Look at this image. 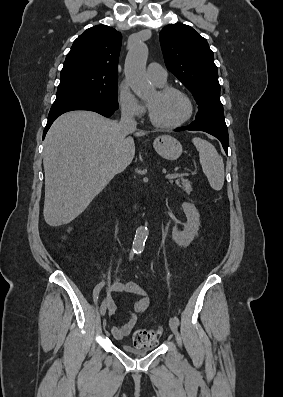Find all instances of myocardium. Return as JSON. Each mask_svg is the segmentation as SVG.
Wrapping results in <instances>:
<instances>
[{
	"instance_id": "myocardium-1",
	"label": "myocardium",
	"mask_w": 283,
	"mask_h": 397,
	"mask_svg": "<svg viewBox=\"0 0 283 397\" xmlns=\"http://www.w3.org/2000/svg\"><path fill=\"white\" fill-rule=\"evenodd\" d=\"M173 92L181 94L186 99V101L188 103V106H189V110H188L187 115L183 119H181L179 121H176V122H173V123H163V122L158 121L155 118L151 107L149 106V104H147L149 119H150L151 123L154 126L159 127V128H163V129H174V128H177V127H180V126L184 125L185 123H187L192 118V116L194 114L195 107H194V103H193L192 98L190 97V95L185 90H183L182 88H179V87H176V86H170V85L161 86L157 90V93L160 96H165V95H167L169 93H173Z\"/></svg>"
}]
</instances>
